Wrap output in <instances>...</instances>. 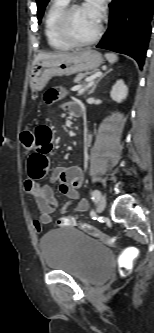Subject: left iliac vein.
Here are the masks:
<instances>
[{"label":"left iliac vein","mask_w":154,"mask_h":333,"mask_svg":"<svg viewBox=\"0 0 154 333\" xmlns=\"http://www.w3.org/2000/svg\"><path fill=\"white\" fill-rule=\"evenodd\" d=\"M105 206H106V199L105 197L102 196L100 197L97 203V212L101 213L104 210Z\"/></svg>","instance_id":"1"}]
</instances>
